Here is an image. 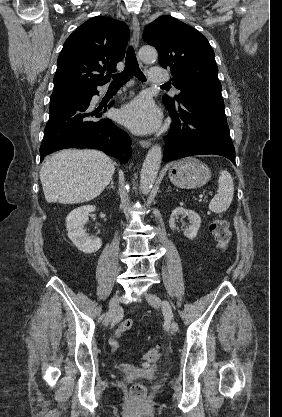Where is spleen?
<instances>
[{"label":"spleen","mask_w":282,"mask_h":417,"mask_svg":"<svg viewBox=\"0 0 282 417\" xmlns=\"http://www.w3.org/2000/svg\"><path fill=\"white\" fill-rule=\"evenodd\" d=\"M233 196V178L228 170H221L218 178V192L210 200V211L212 213H225L229 209Z\"/></svg>","instance_id":"1"}]
</instances>
